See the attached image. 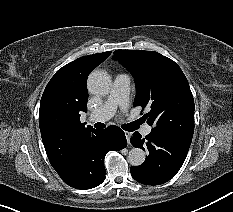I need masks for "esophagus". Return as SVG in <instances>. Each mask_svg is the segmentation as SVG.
<instances>
[{
    "instance_id": "obj_1",
    "label": "esophagus",
    "mask_w": 233,
    "mask_h": 212,
    "mask_svg": "<svg viewBox=\"0 0 233 212\" xmlns=\"http://www.w3.org/2000/svg\"><path fill=\"white\" fill-rule=\"evenodd\" d=\"M125 136H126L127 142L130 144L131 133L130 132H125Z\"/></svg>"
}]
</instances>
